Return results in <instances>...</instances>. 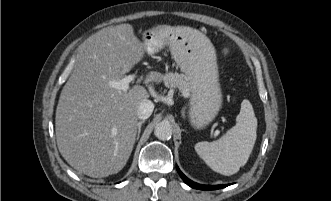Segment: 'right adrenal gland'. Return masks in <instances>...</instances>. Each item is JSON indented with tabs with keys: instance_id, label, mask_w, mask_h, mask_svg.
<instances>
[{
	"instance_id": "1",
	"label": "right adrenal gland",
	"mask_w": 331,
	"mask_h": 201,
	"mask_svg": "<svg viewBox=\"0 0 331 201\" xmlns=\"http://www.w3.org/2000/svg\"><path fill=\"white\" fill-rule=\"evenodd\" d=\"M145 121L143 120V121H139L138 122V124H137V126H138V131H137V140L139 139V136H140V132H141V126H142V124L144 123Z\"/></svg>"
}]
</instances>
